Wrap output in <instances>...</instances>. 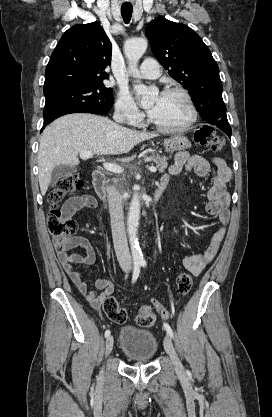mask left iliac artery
Instances as JSON below:
<instances>
[{"mask_svg":"<svg viewBox=\"0 0 272 417\" xmlns=\"http://www.w3.org/2000/svg\"><path fill=\"white\" fill-rule=\"evenodd\" d=\"M140 264H141V266L146 267V261L145 260H142L140 262ZM163 326H164L165 330L167 331V333L169 334V336L171 338H173V336H174L173 335V330L171 329V327L169 326V324L168 323H164Z\"/></svg>","mask_w":272,"mask_h":417,"instance_id":"1","label":"left iliac artery"}]
</instances>
